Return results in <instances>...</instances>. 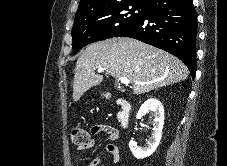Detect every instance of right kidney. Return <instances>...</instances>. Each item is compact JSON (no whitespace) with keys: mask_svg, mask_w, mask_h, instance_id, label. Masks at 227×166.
Instances as JSON below:
<instances>
[{"mask_svg":"<svg viewBox=\"0 0 227 166\" xmlns=\"http://www.w3.org/2000/svg\"><path fill=\"white\" fill-rule=\"evenodd\" d=\"M147 113H150L154 117L152 122V134L147 142V146L140 148L133 139L129 142V148L133 156L137 159H143L153 154L160 144L162 137V129L164 125V108L162 103L154 98L148 99L140 107L136 118L141 119Z\"/></svg>","mask_w":227,"mask_h":166,"instance_id":"right-kidney-1","label":"right kidney"}]
</instances>
